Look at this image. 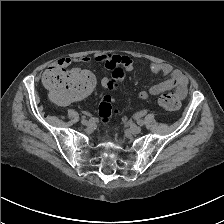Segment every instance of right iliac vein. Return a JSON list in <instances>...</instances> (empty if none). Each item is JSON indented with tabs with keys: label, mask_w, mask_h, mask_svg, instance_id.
Returning <instances> with one entry per match:
<instances>
[{
	"label": "right iliac vein",
	"mask_w": 224,
	"mask_h": 224,
	"mask_svg": "<svg viewBox=\"0 0 224 224\" xmlns=\"http://www.w3.org/2000/svg\"><path fill=\"white\" fill-rule=\"evenodd\" d=\"M81 123L84 125V126H91L92 123L88 120H82Z\"/></svg>",
	"instance_id": "1"
}]
</instances>
